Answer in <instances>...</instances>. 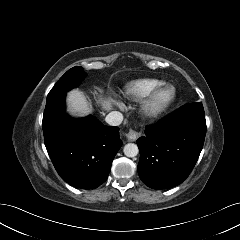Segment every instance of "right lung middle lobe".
Listing matches in <instances>:
<instances>
[{
	"instance_id": "1",
	"label": "right lung middle lobe",
	"mask_w": 240,
	"mask_h": 240,
	"mask_svg": "<svg viewBox=\"0 0 240 240\" xmlns=\"http://www.w3.org/2000/svg\"><path fill=\"white\" fill-rule=\"evenodd\" d=\"M83 70L79 66L69 69L49 92L47 99L57 94L66 93L70 89L77 87L79 82L85 77Z\"/></svg>"
}]
</instances>
